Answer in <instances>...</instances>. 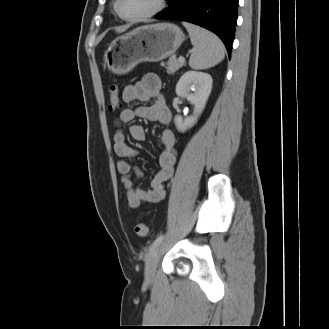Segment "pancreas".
<instances>
[{
  "label": "pancreas",
  "mask_w": 329,
  "mask_h": 329,
  "mask_svg": "<svg viewBox=\"0 0 329 329\" xmlns=\"http://www.w3.org/2000/svg\"><path fill=\"white\" fill-rule=\"evenodd\" d=\"M184 66V62H179L178 59L172 58L166 63V69L168 74H173L178 69Z\"/></svg>",
  "instance_id": "1"
}]
</instances>
